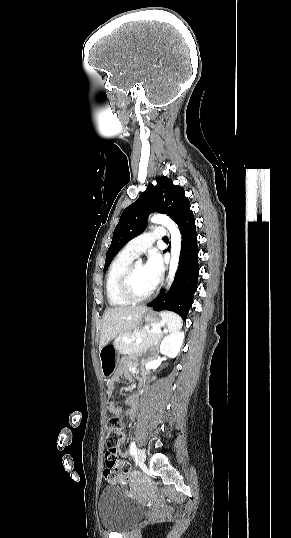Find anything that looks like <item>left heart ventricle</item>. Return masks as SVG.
I'll use <instances>...</instances> for the list:
<instances>
[{
  "instance_id": "obj_1",
  "label": "left heart ventricle",
  "mask_w": 291,
  "mask_h": 538,
  "mask_svg": "<svg viewBox=\"0 0 291 538\" xmlns=\"http://www.w3.org/2000/svg\"><path fill=\"white\" fill-rule=\"evenodd\" d=\"M153 284L151 283L144 265L138 263L135 267L133 275V288L138 295H144L148 293L152 288Z\"/></svg>"
}]
</instances>
